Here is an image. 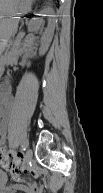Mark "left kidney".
I'll list each match as a JSON object with an SVG mask.
<instances>
[{
	"instance_id": "obj_1",
	"label": "left kidney",
	"mask_w": 103,
	"mask_h": 193,
	"mask_svg": "<svg viewBox=\"0 0 103 193\" xmlns=\"http://www.w3.org/2000/svg\"><path fill=\"white\" fill-rule=\"evenodd\" d=\"M52 14H53V10L49 7L42 9L39 14H36L38 16L49 17L48 27L45 29V32L43 33V36L41 38V46L39 49L40 56L44 55L47 52L53 38L54 26H53ZM39 22H40L39 18H33V20L31 21L30 28L32 30H35ZM27 65L29 66L30 63H28Z\"/></svg>"
}]
</instances>
